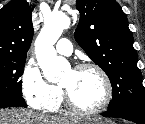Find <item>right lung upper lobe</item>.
Returning a JSON list of instances; mask_svg holds the SVG:
<instances>
[{
  "label": "right lung upper lobe",
  "mask_w": 145,
  "mask_h": 124,
  "mask_svg": "<svg viewBox=\"0 0 145 124\" xmlns=\"http://www.w3.org/2000/svg\"><path fill=\"white\" fill-rule=\"evenodd\" d=\"M31 7L13 0L0 10V57L26 58L33 38Z\"/></svg>",
  "instance_id": "right-lung-upper-lobe-1"
}]
</instances>
